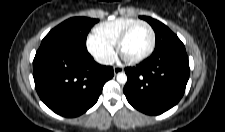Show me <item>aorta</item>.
Returning <instances> with one entry per match:
<instances>
[{"label":"aorta","mask_w":225,"mask_h":132,"mask_svg":"<svg viewBox=\"0 0 225 132\" xmlns=\"http://www.w3.org/2000/svg\"><path fill=\"white\" fill-rule=\"evenodd\" d=\"M117 82L120 84H125L127 82V75L125 73H118Z\"/></svg>","instance_id":"1"}]
</instances>
